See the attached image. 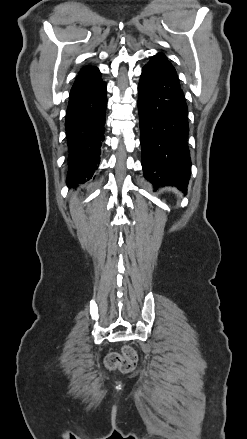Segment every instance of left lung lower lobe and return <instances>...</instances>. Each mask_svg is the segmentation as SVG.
<instances>
[{
  "label": "left lung lower lobe",
  "instance_id": "1",
  "mask_svg": "<svg viewBox=\"0 0 247 439\" xmlns=\"http://www.w3.org/2000/svg\"><path fill=\"white\" fill-rule=\"evenodd\" d=\"M138 111L145 178L185 190L191 167L187 105L177 74L155 58L142 69Z\"/></svg>",
  "mask_w": 247,
  "mask_h": 439
}]
</instances>
